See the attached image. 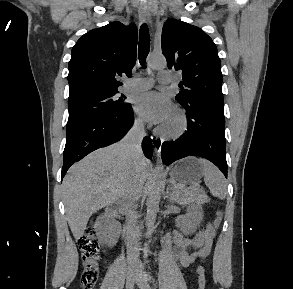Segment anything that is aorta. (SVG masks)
<instances>
[{
    "label": "aorta",
    "instance_id": "762f6f07",
    "mask_svg": "<svg viewBox=\"0 0 293 289\" xmlns=\"http://www.w3.org/2000/svg\"><path fill=\"white\" fill-rule=\"evenodd\" d=\"M148 66L151 69L164 68L166 66V60L163 57L151 56L148 59ZM163 169L164 166L160 158L153 176L152 184L148 191V198L146 202V225L149 231L153 228L155 224L157 212L159 209V202L161 199V192L164 187Z\"/></svg>",
    "mask_w": 293,
    "mask_h": 289
}]
</instances>
